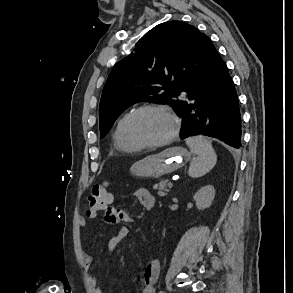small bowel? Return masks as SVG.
Instances as JSON below:
<instances>
[{
	"label": "small bowel",
	"mask_w": 293,
	"mask_h": 293,
	"mask_svg": "<svg viewBox=\"0 0 293 293\" xmlns=\"http://www.w3.org/2000/svg\"><path fill=\"white\" fill-rule=\"evenodd\" d=\"M132 196L136 198L146 211H151L155 206V198L153 195L143 187H137L133 190ZM112 203V200H111ZM104 220L109 224H116L120 222H133L135 219L130 216L126 211L119 208H114L111 204L104 212ZM82 227L86 226L85 221L80 222ZM129 234V228L122 226L119 231L109 239L107 248L109 252H113L124 238ZM82 258L87 269L91 268L92 256L82 249ZM161 268V261L159 259L153 260L144 269L141 279L140 287L141 293H155L154 284L158 278ZM90 283L96 293H104L102 287L98 285L96 277L90 276Z\"/></svg>",
	"instance_id": "1"
}]
</instances>
